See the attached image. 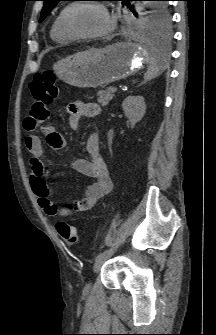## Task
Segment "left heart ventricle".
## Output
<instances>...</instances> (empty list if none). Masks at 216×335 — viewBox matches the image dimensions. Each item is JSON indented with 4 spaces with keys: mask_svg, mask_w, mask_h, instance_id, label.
Listing matches in <instances>:
<instances>
[{
    "mask_svg": "<svg viewBox=\"0 0 216 335\" xmlns=\"http://www.w3.org/2000/svg\"><path fill=\"white\" fill-rule=\"evenodd\" d=\"M68 25L78 33H95L104 31L109 26V19L99 7L83 5L70 13Z\"/></svg>",
    "mask_w": 216,
    "mask_h": 335,
    "instance_id": "obj_1",
    "label": "left heart ventricle"
}]
</instances>
